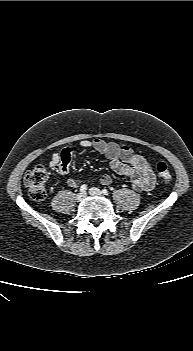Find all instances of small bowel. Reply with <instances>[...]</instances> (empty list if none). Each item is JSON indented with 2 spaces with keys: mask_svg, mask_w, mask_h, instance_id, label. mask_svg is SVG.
I'll return each mask as SVG.
<instances>
[{
  "mask_svg": "<svg viewBox=\"0 0 193 351\" xmlns=\"http://www.w3.org/2000/svg\"><path fill=\"white\" fill-rule=\"evenodd\" d=\"M85 148L93 149L104 155L114 172L130 179L132 187L136 191H150L155 184V175L150 163L142 155L136 154L129 146L117 144L102 139L83 140L74 142L69 147H62L59 153H54L50 161L52 170L58 174H67L71 168V157L81 156ZM103 185H110L112 178L108 174L100 177ZM81 183V179L71 177L67 180L69 187L75 188Z\"/></svg>",
  "mask_w": 193,
  "mask_h": 351,
  "instance_id": "small-bowel-1",
  "label": "small bowel"
}]
</instances>
